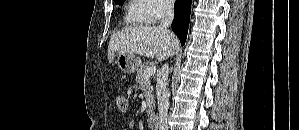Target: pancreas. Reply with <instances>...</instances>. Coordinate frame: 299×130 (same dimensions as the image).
Returning a JSON list of instances; mask_svg holds the SVG:
<instances>
[{
	"label": "pancreas",
	"mask_w": 299,
	"mask_h": 130,
	"mask_svg": "<svg viewBox=\"0 0 299 130\" xmlns=\"http://www.w3.org/2000/svg\"><path fill=\"white\" fill-rule=\"evenodd\" d=\"M147 68V65H140V68L137 70L136 82L138 83V88H140L143 91L144 97L146 99L147 114L151 115L154 112L155 100L151 82L149 78L144 77V71Z\"/></svg>",
	"instance_id": "pancreas-1"
}]
</instances>
